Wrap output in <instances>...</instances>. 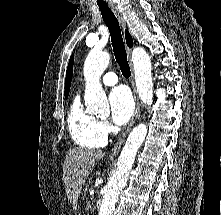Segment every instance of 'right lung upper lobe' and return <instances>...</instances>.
I'll list each match as a JSON object with an SVG mask.
<instances>
[{
  "instance_id": "1",
  "label": "right lung upper lobe",
  "mask_w": 221,
  "mask_h": 215,
  "mask_svg": "<svg viewBox=\"0 0 221 215\" xmlns=\"http://www.w3.org/2000/svg\"><path fill=\"white\" fill-rule=\"evenodd\" d=\"M125 37H126L127 45L131 48L133 46V40L127 30L125 31ZM73 61H74V58L73 56H71L69 60L68 68L66 71L65 96H68L69 90H70V84H71V79H72V74H73Z\"/></svg>"
}]
</instances>
